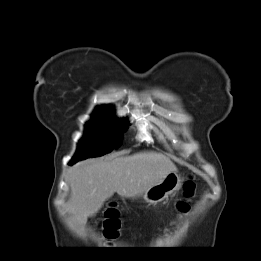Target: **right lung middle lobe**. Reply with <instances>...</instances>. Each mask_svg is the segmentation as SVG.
Here are the masks:
<instances>
[{
	"mask_svg": "<svg viewBox=\"0 0 261 261\" xmlns=\"http://www.w3.org/2000/svg\"><path fill=\"white\" fill-rule=\"evenodd\" d=\"M92 118L86 124L84 139L78 144L74 161L104 155L122 144L127 127L114 116L110 107L97 108Z\"/></svg>",
	"mask_w": 261,
	"mask_h": 261,
	"instance_id": "dd1d6c3e",
	"label": "right lung middle lobe"
}]
</instances>
